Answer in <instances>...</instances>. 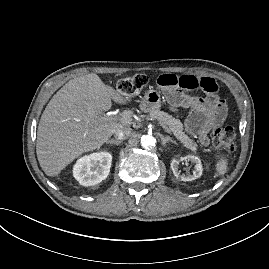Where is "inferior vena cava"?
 Masks as SVG:
<instances>
[{
	"label": "inferior vena cava",
	"instance_id": "1",
	"mask_svg": "<svg viewBox=\"0 0 269 269\" xmlns=\"http://www.w3.org/2000/svg\"><path fill=\"white\" fill-rule=\"evenodd\" d=\"M131 134V129L128 127L119 129L115 132L114 136L117 140H123L129 137Z\"/></svg>",
	"mask_w": 269,
	"mask_h": 269
}]
</instances>
